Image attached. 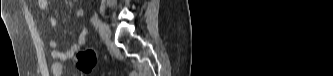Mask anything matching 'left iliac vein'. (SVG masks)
Returning a JSON list of instances; mask_svg holds the SVG:
<instances>
[{
	"instance_id": "1",
	"label": "left iliac vein",
	"mask_w": 333,
	"mask_h": 76,
	"mask_svg": "<svg viewBox=\"0 0 333 76\" xmlns=\"http://www.w3.org/2000/svg\"><path fill=\"white\" fill-rule=\"evenodd\" d=\"M99 31H100L101 37L105 41H108L111 38V30H110V27L106 23L100 24Z\"/></svg>"
}]
</instances>
